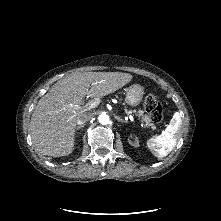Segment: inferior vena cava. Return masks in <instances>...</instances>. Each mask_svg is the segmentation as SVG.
I'll list each match as a JSON object with an SVG mask.
<instances>
[{
	"instance_id": "602c4592",
	"label": "inferior vena cava",
	"mask_w": 221,
	"mask_h": 221,
	"mask_svg": "<svg viewBox=\"0 0 221 221\" xmlns=\"http://www.w3.org/2000/svg\"><path fill=\"white\" fill-rule=\"evenodd\" d=\"M93 118V114L90 112H85L77 119V124L82 125L90 121Z\"/></svg>"
}]
</instances>
